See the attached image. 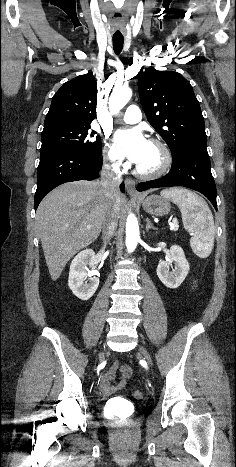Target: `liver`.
I'll list each match as a JSON object with an SVG mask.
<instances>
[{
  "label": "liver",
  "mask_w": 236,
  "mask_h": 467,
  "mask_svg": "<svg viewBox=\"0 0 236 467\" xmlns=\"http://www.w3.org/2000/svg\"><path fill=\"white\" fill-rule=\"evenodd\" d=\"M111 202L119 214L120 194L108 199L98 180L62 184L41 201L36 223L53 281L78 251L97 239Z\"/></svg>",
  "instance_id": "1"
}]
</instances>
